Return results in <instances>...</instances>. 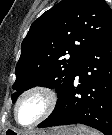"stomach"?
Masks as SVG:
<instances>
[{
    "mask_svg": "<svg viewBox=\"0 0 112 135\" xmlns=\"http://www.w3.org/2000/svg\"><path fill=\"white\" fill-rule=\"evenodd\" d=\"M5 134L10 135H84L83 128L79 126H62L58 128H54L49 132L44 131H33L29 133L21 134L20 132H16L13 130H7Z\"/></svg>",
    "mask_w": 112,
    "mask_h": 135,
    "instance_id": "stomach-1",
    "label": "stomach"
}]
</instances>
